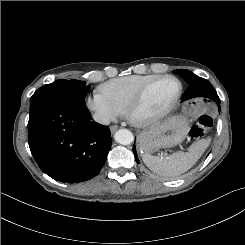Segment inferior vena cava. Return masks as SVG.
Listing matches in <instances>:
<instances>
[{
  "label": "inferior vena cava",
  "mask_w": 245,
  "mask_h": 245,
  "mask_svg": "<svg viewBox=\"0 0 245 245\" xmlns=\"http://www.w3.org/2000/svg\"><path fill=\"white\" fill-rule=\"evenodd\" d=\"M94 120L100 124H104V125L110 124V118L107 116L94 115Z\"/></svg>",
  "instance_id": "obj_1"
}]
</instances>
